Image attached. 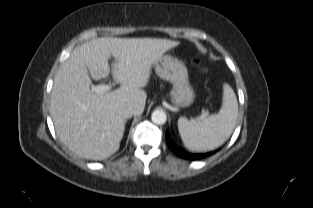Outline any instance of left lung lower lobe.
<instances>
[{
    "label": "left lung lower lobe",
    "instance_id": "obj_1",
    "mask_svg": "<svg viewBox=\"0 0 313 208\" xmlns=\"http://www.w3.org/2000/svg\"><path fill=\"white\" fill-rule=\"evenodd\" d=\"M166 141H167V145L168 147L179 157L184 158V159H189V160H196V159H201L204 157H207L209 155H211L213 152L210 153H205V154H191V153H187L184 151H181L179 149H177L176 147H174L171 142L168 139L167 133H166Z\"/></svg>",
    "mask_w": 313,
    "mask_h": 208
}]
</instances>
